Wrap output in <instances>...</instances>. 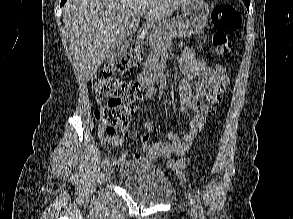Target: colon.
Returning <instances> with one entry per match:
<instances>
[{
	"label": "colon",
	"mask_w": 293,
	"mask_h": 219,
	"mask_svg": "<svg viewBox=\"0 0 293 219\" xmlns=\"http://www.w3.org/2000/svg\"><path fill=\"white\" fill-rule=\"evenodd\" d=\"M212 21L217 30L213 37L217 55H227L233 48L229 35L241 27V16L237 9L229 4H220L212 11ZM142 58L141 48L134 45L121 59L104 64L90 80V84L105 103L94 112L99 125L108 135H115L116 128L127 127L137 109V102L142 98V88L132 79L134 67ZM220 74L225 73V66H216ZM191 163V159L171 161L170 166L180 171Z\"/></svg>",
	"instance_id": "5ec220e1"
}]
</instances>
